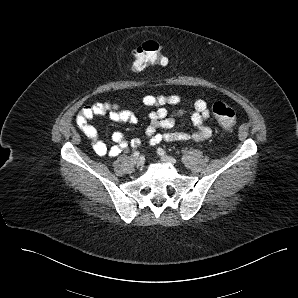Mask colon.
<instances>
[{
    "label": "colon",
    "mask_w": 298,
    "mask_h": 298,
    "mask_svg": "<svg viewBox=\"0 0 298 298\" xmlns=\"http://www.w3.org/2000/svg\"><path fill=\"white\" fill-rule=\"evenodd\" d=\"M164 54L160 45L155 41H147L133 51L132 68L143 71L149 66L164 65ZM212 112L219 125L227 132H231L237 123L235 111L224 102L217 101L212 105Z\"/></svg>",
    "instance_id": "obj_1"
}]
</instances>
